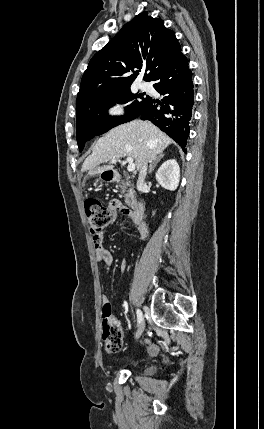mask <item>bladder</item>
I'll list each match as a JSON object with an SVG mask.
<instances>
[{
	"label": "bladder",
	"mask_w": 264,
	"mask_h": 429,
	"mask_svg": "<svg viewBox=\"0 0 264 429\" xmlns=\"http://www.w3.org/2000/svg\"><path fill=\"white\" fill-rule=\"evenodd\" d=\"M146 374H149L150 373V370L148 369V370H146V372H145Z\"/></svg>",
	"instance_id": "bladder-1"
}]
</instances>
